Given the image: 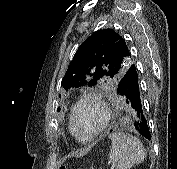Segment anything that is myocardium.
I'll return each mask as SVG.
<instances>
[{"instance_id": "myocardium-1", "label": "myocardium", "mask_w": 177, "mask_h": 169, "mask_svg": "<svg viewBox=\"0 0 177 169\" xmlns=\"http://www.w3.org/2000/svg\"><path fill=\"white\" fill-rule=\"evenodd\" d=\"M86 102H93L101 111V123L100 126L90 135H81L76 127V114L80 106ZM110 120V110L101 96L95 92H89L81 95L76 103L73 105L70 113V126L74 135L81 141H92L99 136L108 126Z\"/></svg>"}]
</instances>
